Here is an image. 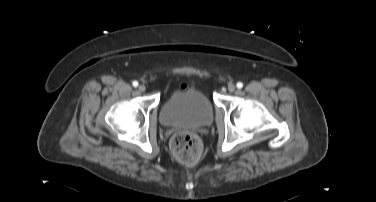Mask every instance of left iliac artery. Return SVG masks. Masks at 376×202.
<instances>
[{"mask_svg": "<svg viewBox=\"0 0 376 202\" xmlns=\"http://www.w3.org/2000/svg\"><path fill=\"white\" fill-rule=\"evenodd\" d=\"M243 87V83L242 82H238L237 83V88L241 89Z\"/></svg>", "mask_w": 376, "mask_h": 202, "instance_id": "44dca946", "label": "left iliac artery"}]
</instances>
